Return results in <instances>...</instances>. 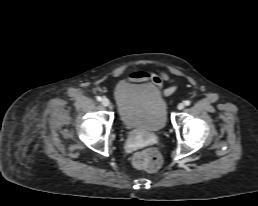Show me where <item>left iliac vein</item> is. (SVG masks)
Listing matches in <instances>:
<instances>
[{
  "instance_id": "left-iliac-vein-1",
  "label": "left iliac vein",
  "mask_w": 258,
  "mask_h": 206,
  "mask_svg": "<svg viewBox=\"0 0 258 206\" xmlns=\"http://www.w3.org/2000/svg\"><path fill=\"white\" fill-rule=\"evenodd\" d=\"M177 107H178L179 110H182L185 107V104L184 103H179Z\"/></svg>"
}]
</instances>
